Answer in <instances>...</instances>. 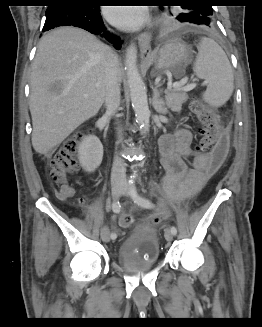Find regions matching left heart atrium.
Instances as JSON below:
<instances>
[{
  "instance_id": "left-heart-atrium-1",
  "label": "left heart atrium",
  "mask_w": 262,
  "mask_h": 327,
  "mask_svg": "<svg viewBox=\"0 0 262 327\" xmlns=\"http://www.w3.org/2000/svg\"><path fill=\"white\" fill-rule=\"evenodd\" d=\"M107 20L123 30H133L141 27L148 20V13L144 7L110 6L105 9Z\"/></svg>"
}]
</instances>
